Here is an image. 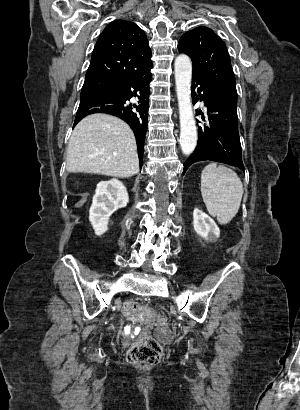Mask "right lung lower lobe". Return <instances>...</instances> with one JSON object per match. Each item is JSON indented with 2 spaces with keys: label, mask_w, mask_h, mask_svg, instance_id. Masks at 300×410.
I'll return each instance as SVG.
<instances>
[{
  "label": "right lung lower lobe",
  "mask_w": 300,
  "mask_h": 410,
  "mask_svg": "<svg viewBox=\"0 0 300 410\" xmlns=\"http://www.w3.org/2000/svg\"><path fill=\"white\" fill-rule=\"evenodd\" d=\"M150 81L149 70L143 74L126 76L108 88L81 95L74 126L92 113H108L121 118L135 134L141 165L148 125ZM131 98L138 99V103H129Z\"/></svg>",
  "instance_id": "1"
}]
</instances>
